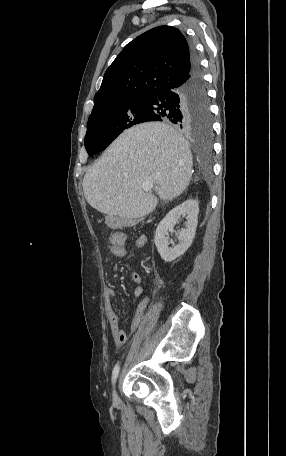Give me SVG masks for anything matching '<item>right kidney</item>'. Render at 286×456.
<instances>
[{"label": "right kidney", "instance_id": "1", "mask_svg": "<svg viewBox=\"0 0 286 456\" xmlns=\"http://www.w3.org/2000/svg\"><path fill=\"white\" fill-rule=\"evenodd\" d=\"M198 201L188 199L180 205L174 207L164 219L159 223L155 232L154 242L161 258L165 262H171L183 255L190 247L195 236L196 227L198 224ZM181 216L186 217V227L182 228L178 233L179 244L169 247L172 243L167 237L168 231L179 223Z\"/></svg>", "mask_w": 286, "mask_h": 456}]
</instances>
